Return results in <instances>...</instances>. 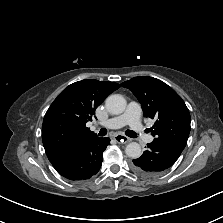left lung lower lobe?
<instances>
[{"label":"left lung lower lobe","instance_id":"1","mask_svg":"<svg viewBox=\"0 0 223 223\" xmlns=\"http://www.w3.org/2000/svg\"><path fill=\"white\" fill-rule=\"evenodd\" d=\"M183 149L171 143L153 141L147 144L142 156L134 159L133 170L143 176H153L171 167Z\"/></svg>","mask_w":223,"mask_h":223}]
</instances>
